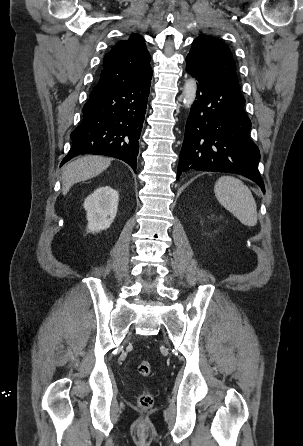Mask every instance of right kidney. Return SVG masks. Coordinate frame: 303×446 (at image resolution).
Returning a JSON list of instances; mask_svg holds the SVG:
<instances>
[{
	"label": "right kidney",
	"mask_w": 303,
	"mask_h": 446,
	"mask_svg": "<svg viewBox=\"0 0 303 446\" xmlns=\"http://www.w3.org/2000/svg\"><path fill=\"white\" fill-rule=\"evenodd\" d=\"M119 202V194L109 186L97 188L84 201L87 212L88 232L108 229L114 221Z\"/></svg>",
	"instance_id": "right-kidney-1"
}]
</instances>
